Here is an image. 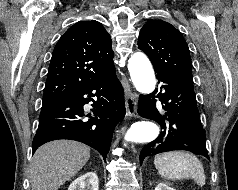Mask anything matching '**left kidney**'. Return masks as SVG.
<instances>
[{"instance_id":"1","label":"left kidney","mask_w":238,"mask_h":190,"mask_svg":"<svg viewBox=\"0 0 238 190\" xmlns=\"http://www.w3.org/2000/svg\"><path fill=\"white\" fill-rule=\"evenodd\" d=\"M155 190H176V189L166 185L165 183H158Z\"/></svg>"}]
</instances>
